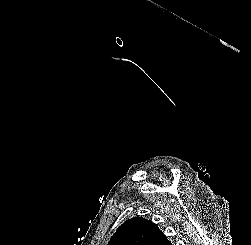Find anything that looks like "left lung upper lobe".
<instances>
[{
  "label": "left lung upper lobe",
  "instance_id": "1",
  "mask_svg": "<svg viewBox=\"0 0 251 245\" xmlns=\"http://www.w3.org/2000/svg\"><path fill=\"white\" fill-rule=\"evenodd\" d=\"M108 245L171 244L156 224L142 217H134L118 227Z\"/></svg>",
  "mask_w": 251,
  "mask_h": 245
}]
</instances>
